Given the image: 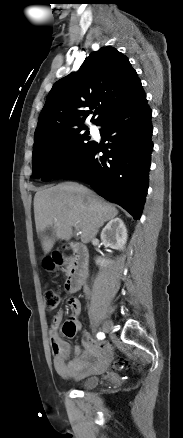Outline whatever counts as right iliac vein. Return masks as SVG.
I'll return each mask as SVG.
<instances>
[{
	"instance_id": "1",
	"label": "right iliac vein",
	"mask_w": 183,
	"mask_h": 438,
	"mask_svg": "<svg viewBox=\"0 0 183 438\" xmlns=\"http://www.w3.org/2000/svg\"><path fill=\"white\" fill-rule=\"evenodd\" d=\"M102 329L104 332L109 333L112 330V323L110 321H106L103 323Z\"/></svg>"
}]
</instances>
